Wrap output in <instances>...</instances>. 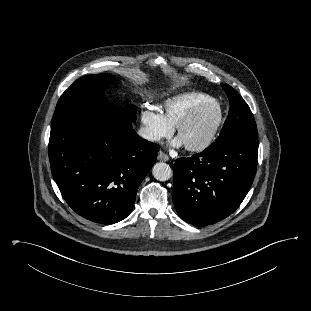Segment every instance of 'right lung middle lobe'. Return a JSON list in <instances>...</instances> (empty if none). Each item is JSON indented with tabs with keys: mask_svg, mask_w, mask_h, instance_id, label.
<instances>
[{
	"mask_svg": "<svg viewBox=\"0 0 311 311\" xmlns=\"http://www.w3.org/2000/svg\"><path fill=\"white\" fill-rule=\"evenodd\" d=\"M114 81L110 74H99L82 77L76 80L61 95L52 120V127L73 121L78 118L105 117L119 115L127 120H136V107L130 105L114 112L103 104L102 90Z\"/></svg>",
	"mask_w": 311,
	"mask_h": 311,
	"instance_id": "right-lung-middle-lobe-1",
	"label": "right lung middle lobe"
}]
</instances>
